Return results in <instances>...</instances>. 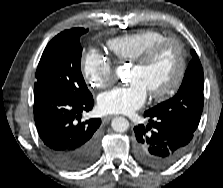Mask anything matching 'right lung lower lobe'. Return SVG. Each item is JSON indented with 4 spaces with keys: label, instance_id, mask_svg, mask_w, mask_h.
Instances as JSON below:
<instances>
[{
    "label": "right lung lower lobe",
    "instance_id": "right-lung-lower-lobe-1",
    "mask_svg": "<svg viewBox=\"0 0 223 188\" xmlns=\"http://www.w3.org/2000/svg\"><path fill=\"white\" fill-rule=\"evenodd\" d=\"M94 105L93 97L75 99L46 90H34V120L44 148L59 167L79 171L100 154L101 119L78 121Z\"/></svg>",
    "mask_w": 223,
    "mask_h": 188
}]
</instances>
